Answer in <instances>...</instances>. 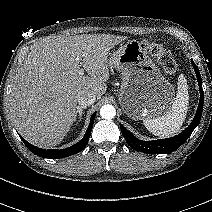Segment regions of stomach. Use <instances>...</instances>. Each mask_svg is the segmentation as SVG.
<instances>
[{
	"instance_id": "0dacf381",
	"label": "stomach",
	"mask_w": 212,
	"mask_h": 212,
	"mask_svg": "<svg viewBox=\"0 0 212 212\" xmlns=\"http://www.w3.org/2000/svg\"><path fill=\"white\" fill-rule=\"evenodd\" d=\"M109 65L122 75L118 100L133 120L165 116L174 101V87L137 40L121 44L109 58Z\"/></svg>"
}]
</instances>
